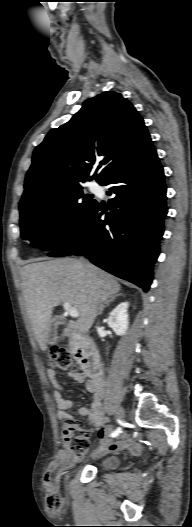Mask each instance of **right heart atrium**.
Here are the masks:
<instances>
[{"mask_svg": "<svg viewBox=\"0 0 192 527\" xmlns=\"http://www.w3.org/2000/svg\"><path fill=\"white\" fill-rule=\"evenodd\" d=\"M66 223H67V221H66L65 216H63V215H58V216L54 219V221H53V223H52V225H51V232H52L54 235H58V234H60V233L64 230V228L66 227Z\"/></svg>", "mask_w": 192, "mask_h": 527, "instance_id": "obj_1", "label": "right heart atrium"}]
</instances>
